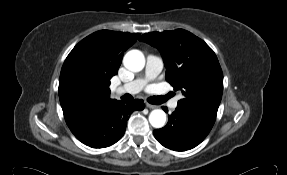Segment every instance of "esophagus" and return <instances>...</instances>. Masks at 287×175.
Returning a JSON list of instances; mask_svg holds the SVG:
<instances>
[{"instance_id": "1", "label": "esophagus", "mask_w": 287, "mask_h": 175, "mask_svg": "<svg viewBox=\"0 0 287 175\" xmlns=\"http://www.w3.org/2000/svg\"><path fill=\"white\" fill-rule=\"evenodd\" d=\"M146 107H148L149 109H155V108H157L156 105L150 104V103H148V102H146Z\"/></svg>"}]
</instances>
